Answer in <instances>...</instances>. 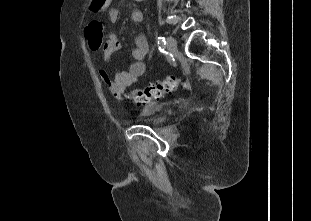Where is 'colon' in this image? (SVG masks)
I'll list each match as a JSON object with an SVG mask.
<instances>
[{"label": "colon", "instance_id": "1", "mask_svg": "<svg viewBox=\"0 0 311 221\" xmlns=\"http://www.w3.org/2000/svg\"><path fill=\"white\" fill-rule=\"evenodd\" d=\"M87 36L90 48L98 50L104 36V25L101 19L94 18L87 25ZM181 83L178 76H169L163 80L142 88L132 89L125 94V97L134 103L153 105L163 99L166 95L174 93Z\"/></svg>", "mask_w": 311, "mask_h": 221}]
</instances>
